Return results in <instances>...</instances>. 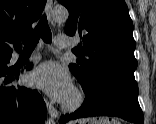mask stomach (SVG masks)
<instances>
[{
    "instance_id": "1",
    "label": "stomach",
    "mask_w": 156,
    "mask_h": 124,
    "mask_svg": "<svg viewBox=\"0 0 156 124\" xmlns=\"http://www.w3.org/2000/svg\"><path fill=\"white\" fill-rule=\"evenodd\" d=\"M105 123H108V122H105ZM73 124H76V123H73ZM89 124H102V121H92Z\"/></svg>"
}]
</instances>
